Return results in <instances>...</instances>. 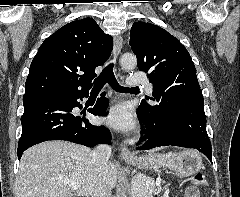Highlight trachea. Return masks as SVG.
<instances>
[{"label":"trachea","instance_id":"obj_1","mask_svg":"<svg viewBox=\"0 0 240 197\" xmlns=\"http://www.w3.org/2000/svg\"><path fill=\"white\" fill-rule=\"evenodd\" d=\"M113 67H114V64L110 63L104 68L100 76L94 81V87L91 91V94H98L106 82H108V84L112 87V89H114L117 92H126L134 89V88L123 87L119 85L114 75Z\"/></svg>","mask_w":240,"mask_h":197}]
</instances>
